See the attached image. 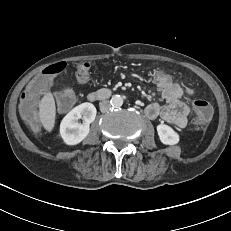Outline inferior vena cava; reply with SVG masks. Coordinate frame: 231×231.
Wrapping results in <instances>:
<instances>
[{
  "label": "inferior vena cava",
  "instance_id": "inferior-vena-cava-1",
  "mask_svg": "<svg viewBox=\"0 0 231 231\" xmlns=\"http://www.w3.org/2000/svg\"><path fill=\"white\" fill-rule=\"evenodd\" d=\"M100 105V111L102 113H105L111 109V103L108 100H104L99 103Z\"/></svg>",
  "mask_w": 231,
  "mask_h": 231
}]
</instances>
